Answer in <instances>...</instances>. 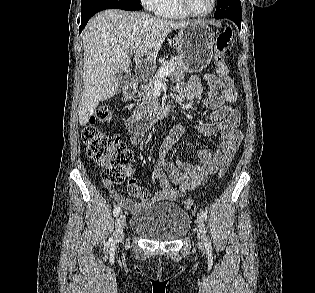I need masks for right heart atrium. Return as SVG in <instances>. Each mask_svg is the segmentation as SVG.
I'll return each mask as SVG.
<instances>
[{
    "instance_id": "1",
    "label": "right heart atrium",
    "mask_w": 315,
    "mask_h": 293,
    "mask_svg": "<svg viewBox=\"0 0 315 293\" xmlns=\"http://www.w3.org/2000/svg\"><path fill=\"white\" fill-rule=\"evenodd\" d=\"M160 0H140L145 9L149 11H156Z\"/></svg>"
}]
</instances>
